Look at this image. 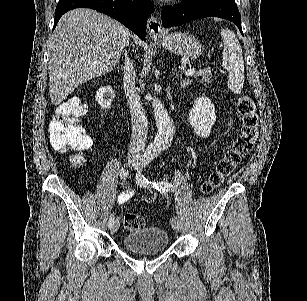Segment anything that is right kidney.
I'll use <instances>...</instances> for the list:
<instances>
[{"label": "right kidney", "instance_id": "obj_1", "mask_svg": "<svg viewBox=\"0 0 307 301\" xmlns=\"http://www.w3.org/2000/svg\"><path fill=\"white\" fill-rule=\"evenodd\" d=\"M114 98L115 92L110 84H107V86H100V88L96 90L95 100L99 102L101 108H111Z\"/></svg>", "mask_w": 307, "mask_h": 301}]
</instances>
